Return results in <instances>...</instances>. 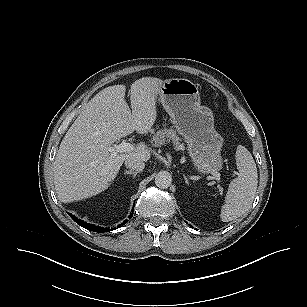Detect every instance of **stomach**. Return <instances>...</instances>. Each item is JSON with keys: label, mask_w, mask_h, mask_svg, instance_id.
Masks as SVG:
<instances>
[{"label": "stomach", "mask_w": 307, "mask_h": 307, "mask_svg": "<svg viewBox=\"0 0 307 307\" xmlns=\"http://www.w3.org/2000/svg\"><path fill=\"white\" fill-rule=\"evenodd\" d=\"M161 103L177 132L187 143L194 165L202 173H215L222 167V136L214 129V115L202 106L198 85L188 79L173 78L163 82Z\"/></svg>", "instance_id": "stomach-1"}]
</instances>
